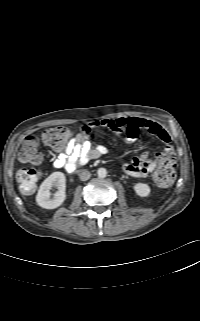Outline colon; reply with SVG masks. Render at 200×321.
I'll return each mask as SVG.
<instances>
[{
	"mask_svg": "<svg viewBox=\"0 0 200 321\" xmlns=\"http://www.w3.org/2000/svg\"><path fill=\"white\" fill-rule=\"evenodd\" d=\"M70 137L71 131L64 126L49 128L43 133L44 142L57 150L64 149ZM39 147V138L35 135H29L25 138L19 152L21 161L34 165L21 168L17 172L16 178L21 191L24 193L34 191L41 175L39 168L35 166L41 160ZM157 161L158 167L153 175L155 184L160 188L171 186L175 181L177 168L174 153L171 151L163 152L157 157Z\"/></svg>",
	"mask_w": 200,
	"mask_h": 321,
	"instance_id": "obj_1",
	"label": "colon"
}]
</instances>
